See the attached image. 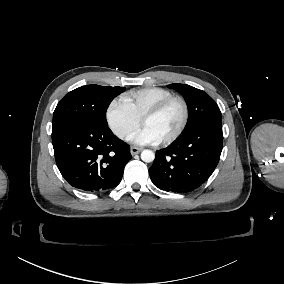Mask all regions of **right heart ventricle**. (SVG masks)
I'll list each match as a JSON object with an SVG mask.
<instances>
[{
	"label": "right heart ventricle",
	"mask_w": 284,
	"mask_h": 284,
	"mask_svg": "<svg viewBox=\"0 0 284 284\" xmlns=\"http://www.w3.org/2000/svg\"><path fill=\"white\" fill-rule=\"evenodd\" d=\"M171 96L174 93L166 88L146 86L123 94L120 100L141 119L148 110Z\"/></svg>",
	"instance_id": "right-heart-ventricle-1"
}]
</instances>
